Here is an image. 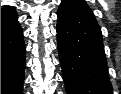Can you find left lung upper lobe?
<instances>
[{
    "instance_id": "1",
    "label": "left lung upper lobe",
    "mask_w": 121,
    "mask_h": 94,
    "mask_svg": "<svg viewBox=\"0 0 121 94\" xmlns=\"http://www.w3.org/2000/svg\"><path fill=\"white\" fill-rule=\"evenodd\" d=\"M61 3L73 12H76L83 16L94 18V14L85 0H62Z\"/></svg>"
}]
</instances>
